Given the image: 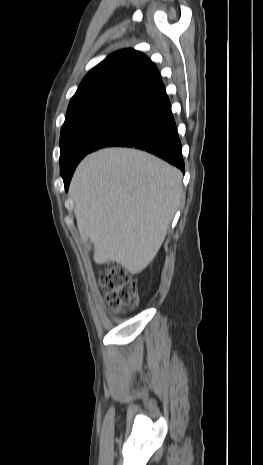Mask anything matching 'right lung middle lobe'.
<instances>
[{
    "label": "right lung middle lobe",
    "instance_id": "dd1d6c3e",
    "mask_svg": "<svg viewBox=\"0 0 263 465\" xmlns=\"http://www.w3.org/2000/svg\"><path fill=\"white\" fill-rule=\"evenodd\" d=\"M137 99L109 97L87 102L67 111L60 135V170L62 177L73 172L91 152L96 142Z\"/></svg>",
    "mask_w": 263,
    "mask_h": 465
}]
</instances>
